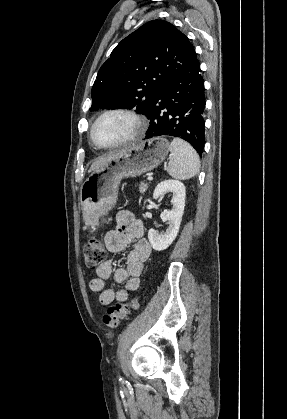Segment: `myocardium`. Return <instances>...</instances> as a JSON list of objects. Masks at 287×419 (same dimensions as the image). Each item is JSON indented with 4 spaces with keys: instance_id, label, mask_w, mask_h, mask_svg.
Returning <instances> with one entry per match:
<instances>
[{
    "instance_id": "1",
    "label": "myocardium",
    "mask_w": 287,
    "mask_h": 419,
    "mask_svg": "<svg viewBox=\"0 0 287 419\" xmlns=\"http://www.w3.org/2000/svg\"><path fill=\"white\" fill-rule=\"evenodd\" d=\"M113 114H119V115L128 117L134 124V131L129 137H127L126 139L122 141H119L114 144H102L98 142L95 138V135H94L95 127L99 123V121L102 120L104 117L108 115H113ZM145 127H146V124H145L144 118L141 115H139L136 111L129 108H125V107H114V108H110L101 112L96 117V119L93 121L90 128V138L92 142L101 149H114V148L125 146L137 140L144 133Z\"/></svg>"
}]
</instances>
